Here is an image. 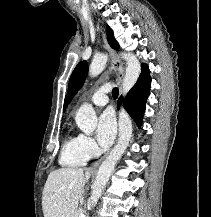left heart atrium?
Here are the masks:
<instances>
[{
  "instance_id": "39dd6f15",
  "label": "left heart atrium",
  "mask_w": 211,
  "mask_h": 217,
  "mask_svg": "<svg viewBox=\"0 0 211 217\" xmlns=\"http://www.w3.org/2000/svg\"><path fill=\"white\" fill-rule=\"evenodd\" d=\"M116 121L112 112H104L97 124L96 138L102 147H108L116 135Z\"/></svg>"
}]
</instances>
